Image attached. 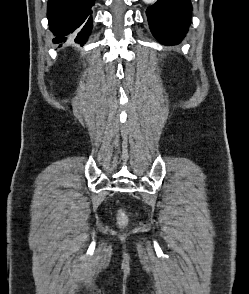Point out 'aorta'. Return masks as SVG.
Wrapping results in <instances>:
<instances>
[{
    "instance_id": "aorta-1",
    "label": "aorta",
    "mask_w": 249,
    "mask_h": 294,
    "mask_svg": "<svg viewBox=\"0 0 249 294\" xmlns=\"http://www.w3.org/2000/svg\"><path fill=\"white\" fill-rule=\"evenodd\" d=\"M157 0H143V2L147 3V4H152L155 3Z\"/></svg>"
}]
</instances>
